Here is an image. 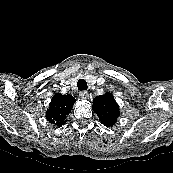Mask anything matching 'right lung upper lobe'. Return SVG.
Instances as JSON below:
<instances>
[{
    "label": "right lung upper lobe",
    "mask_w": 173,
    "mask_h": 173,
    "mask_svg": "<svg viewBox=\"0 0 173 173\" xmlns=\"http://www.w3.org/2000/svg\"><path fill=\"white\" fill-rule=\"evenodd\" d=\"M75 101V98L70 94H55L47 109L46 119L57 126L64 125L66 116L70 113Z\"/></svg>",
    "instance_id": "1"
}]
</instances>
